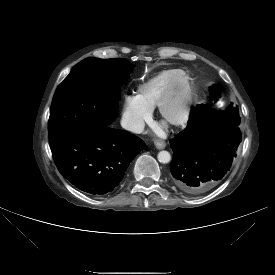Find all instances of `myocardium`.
<instances>
[{"label":"myocardium","instance_id":"myocardium-1","mask_svg":"<svg viewBox=\"0 0 275 275\" xmlns=\"http://www.w3.org/2000/svg\"><path fill=\"white\" fill-rule=\"evenodd\" d=\"M180 77L182 78L184 84V96L178 115L170 117L167 115L166 109L177 88ZM192 98L193 86L189 74L183 69H176L170 83L157 101L156 109L159 119L163 123L172 127L184 125L190 117Z\"/></svg>","mask_w":275,"mask_h":275}]
</instances>
